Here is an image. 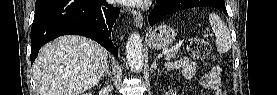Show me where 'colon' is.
<instances>
[{"label": "colon", "mask_w": 277, "mask_h": 95, "mask_svg": "<svg viewBox=\"0 0 277 95\" xmlns=\"http://www.w3.org/2000/svg\"><path fill=\"white\" fill-rule=\"evenodd\" d=\"M187 50L195 60H203L210 52V43L202 36L195 35L187 42ZM211 74H215L213 71Z\"/></svg>", "instance_id": "5ec220e1"}]
</instances>
